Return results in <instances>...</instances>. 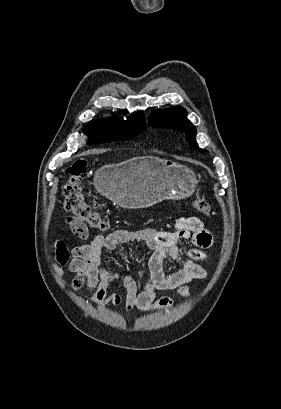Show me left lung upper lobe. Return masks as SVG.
<instances>
[{
    "instance_id": "1",
    "label": "left lung upper lobe",
    "mask_w": 281,
    "mask_h": 409,
    "mask_svg": "<svg viewBox=\"0 0 281 409\" xmlns=\"http://www.w3.org/2000/svg\"><path fill=\"white\" fill-rule=\"evenodd\" d=\"M149 124L153 127L179 129L181 132L185 133L190 146L196 148L200 152L205 151L200 149L195 141L196 128L187 119V112L184 108L172 107L167 110H159L152 114Z\"/></svg>"
}]
</instances>
